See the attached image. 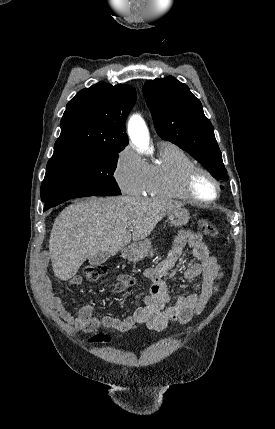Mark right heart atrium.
Segmentation results:
<instances>
[{
  "label": "right heart atrium",
  "mask_w": 275,
  "mask_h": 429,
  "mask_svg": "<svg viewBox=\"0 0 275 429\" xmlns=\"http://www.w3.org/2000/svg\"><path fill=\"white\" fill-rule=\"evenodd\" d=\"M148 164L130 146L122 148L116 156L114 177L120 189L128 195H140L148 183Z\"/></svg>",
  "instance_id": "obj_1"
}]
</instances>
